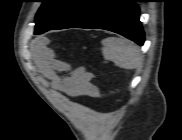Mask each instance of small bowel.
<instances>
[{
    "mask_svg": "<svg viewBox=\"0 0 182 140\" xmlns=\"http://www.w3.org/2000/svg\"><path fill=\"white\" fill-rule=\"evenodd\" d=\"M48 86L70 97L86 95L97 97L99 90L93 83V74L84 67L70 69L65 62L56 60L51 51L43 54ZM63 73V74H60Z\"/></svg>",
    "mask_w": 182,
    "mask_h": 140,
    "instance_id": "1",
    "label": "small bowel"
}]
</instances>
